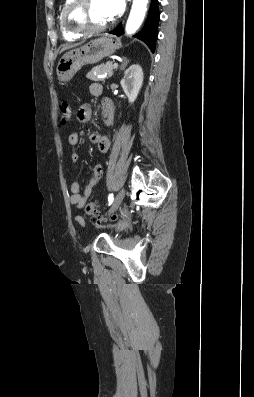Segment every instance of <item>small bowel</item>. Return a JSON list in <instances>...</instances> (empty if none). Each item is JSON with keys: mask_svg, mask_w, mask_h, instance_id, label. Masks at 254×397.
<instances>
[{"mask_svg": "<svg viewBox=\"0 0 254 397\" xmlns=\"http://www.w3.org/2000/svg\"><path fill=\"white\" fill-rule=\"evenodd\" d=\"M90 93L95 97H100L103 93V86L100 83L94 82L89 87ZM92 116V109L89 104H83L80 106L77 112V121L80 124H85L89 122ZM102 117L105 127H109L112 125L114 120V106L110 99L104 98L102 101ZM80 135L77 132H73L69 135L68 141L71 146H77L80 143ZM90 140L92 143L96 144L100 153L105 154L108 152L110 148V140L104 133L95 132L90 136ZM71 160L75 163L78 160V155L76 152H73L71 155ZM103 174V168L100 163H97L92 170L90 179L81 191L80 185L78 182H72L70 186L71 195L70 202L76 208H82L87 199L91 196L93 190L98 185ZM76 221L84 226L85 222L82 217H76ZM128 227L127 223H122L119 226V229H126Z\"/></svg>", "mask_w": 254, "mask_h": 397, "instance_id": "c3829d8e", "label": "small bowel"}]
</instances>
